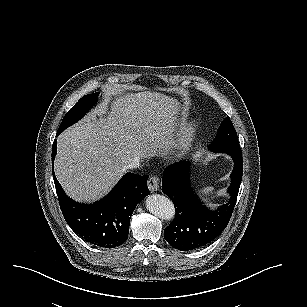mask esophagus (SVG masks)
<instances>
[{
  "label": "esophagus",
  "mask_w": 307,
  "mask_h": 307,
  "mask_svg": "<svg viewBox=\"0 0 307 307\" xmlns=\"http://www.w3.org/2000/svg\"><path fill=\"white\" fill-rule=\"evenodd\" d=\"M160 187V179L158 176H151L148 180V188L151 192H157Z\"/></svg>",
  "instance_id": "1"
}]
</instances>
